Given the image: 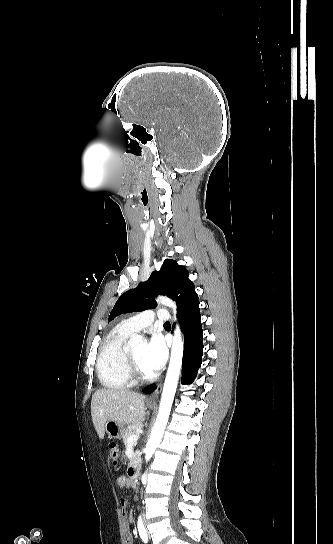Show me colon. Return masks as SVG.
I'll list each match as a JSON object with an SVG mask.
<instances>
[{"mask_svg":"<svg viewBox=\"0 0 333 544\" xmlns=\"http://www.w3.org/2000/svg\"><path fill=\"white\" fill-rule=\"evenodd\" d=\"M108 451H109V458L113 462H116L118 460V455H119L118 446L116 445V443L114 442L109 443Z\"/></svg>","mask_w":333,"mask_h":544,"instance_id":"5ec220e1","label":"colon"}]
</instances>
